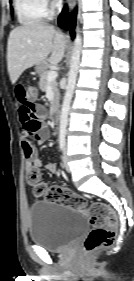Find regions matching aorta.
<instances>
[{
  "instance_id": "obj_1",
  "label": "aorta",
  "mask_w": 134,
  "mask_h": 281,
  "mask_svg": "<svg viewBox=\"0 0 134 281\" xmlns=\"http://www.w3.org/2000/svg\"><path fill=\"white\" fill-rule=\"evenodd\" d=\"M82 50V39L79 28L76 29V37L71 56V66L68 73V82L66 85V92L62 103V109L59 122V134L64 137L68 124V115L70 111V104L74 93V88L77 80V74L80 64V56Z\"/></svg>"
}]
</instances>
